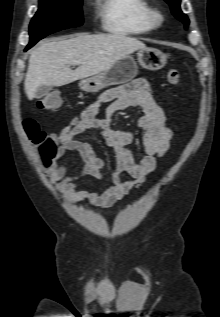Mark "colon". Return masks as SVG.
<instances>
[{
  "label": "colon",
  "mask_w": 220,
  "mask_h": 317,
  "mask_svg": "<svg viewBox=\"0 0 220 317\" xmlns=\"http://www.w3.org/2000/svg\"><path fill=\"white\" fill-rule=\"evenodd\" d=\"M168 82L172 85L180 83V73L176 69L167 72ZM61 97L57 92H50L42 96L37 107L40 110H55L61 105ZM23 129L31 144L35 154L43 166H50L58 155V143L56 139L43 131L38 122L33 118L23 120Z\"/></svg>",
  "instance_id": "5ec220e1"
}]
</instances>
